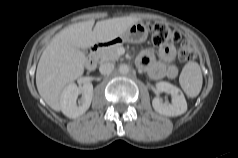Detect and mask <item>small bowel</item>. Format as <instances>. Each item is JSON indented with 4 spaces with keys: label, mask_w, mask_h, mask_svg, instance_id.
<instances>
[{
    "label": "small bowel",
    "mask_w": 238,
    "mask_h": 158,
    "mask_svg": "<svg viewBox=\"0 0 238 158\" xmlns=\"http://www.w3.org/2000/svg\"><path fill=\"white\" fill-rule=\"evenodd\" d=\"M176 50L173 44H166L159 50L160 60H157L151 49L143 50L138 59V66L148 72L151 78L160 80L173 79L178 75V68L174 63Z\"/></svg>",
    "instance_id": "obj_1"
}]
</instances>
